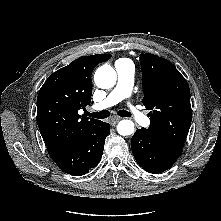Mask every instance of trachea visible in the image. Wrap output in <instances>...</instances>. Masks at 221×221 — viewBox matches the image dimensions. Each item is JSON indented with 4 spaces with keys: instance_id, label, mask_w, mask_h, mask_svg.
I'll use <instances>...</instances> for the list:
<instances>
[{
    "instance_id": "3493384b",
    "label": "trachea",
    "mask_w": 221,
    "mask_h": 221,
    "mask_svg": "<svg viewBox=\"0 0 221 221\" xmlns=\"http://www.w3.org/2000/svg\"><path fill=\"white\" fill-rule=\"evenodd\" d=\"M117 114L121 117H130L131 116L130 112L125 111V110H120L117 112ZM86 115L93 117V118H97V119H105L110 116V112L107 110H103V111L96 112V113L86 112Z\"/></svg>"
}]
</instances>
